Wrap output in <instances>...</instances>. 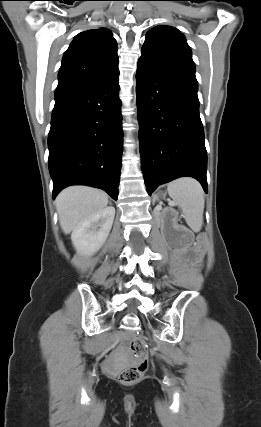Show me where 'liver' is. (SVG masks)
Returning <instances> with one entry per match:
<instances>
[{
	"instance_id": "1",
	"label": "liver",
	"mask_w": 261,
	"mask_h": 427,
	"mask_svg": "<svg viewBox=\"0 0 261 427\" xmlns=\"http://www.w3.org/2000/svg\"><path fill=\"white\" fill-rule=\"evenodd\" d=\"M108 204V195L87 186H70L56 198L60 226L69 234L80 223L103 210Z\"/></svg>"
}]
</instances>
